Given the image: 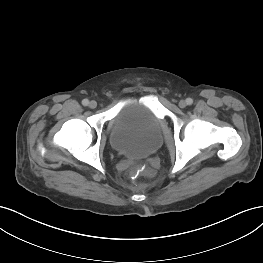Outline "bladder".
Segmentation results:
<instances>
[{"label": "bladder", "mask_w": 263, "mask_h": 263, "mask_svg": "<svg viewBox=\"0 0 263 263\" xmlns=\"http://www.w3.org/2000/svg\"><path fill=\"white\" fill-rule=\"evenodd\" d=\"M112 148L126 157H146L161 146L160 119L139 100L126 101L112 120L109 132Z\"/></svg>", "instance_id": "1"}]
</instances>
